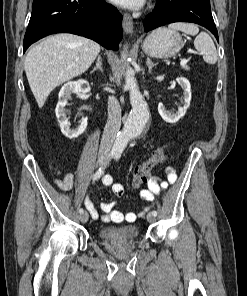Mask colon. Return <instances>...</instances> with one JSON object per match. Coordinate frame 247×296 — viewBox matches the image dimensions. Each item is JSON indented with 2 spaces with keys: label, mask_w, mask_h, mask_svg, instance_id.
I'll use <instances>...</instances> for the list:
<instances>
[{
  "label": "colon",
  "mask_w": 247,
  "mask_h": 296,
  "mask_svg": "<svg viewBox=\"0 0 247 296\" xmlns=\"http://www.w3.org/2000/svg\"><path fill=\"white\" fill-rule=\"evenodd\" d=\"M165 158V152L162 148L155 150L148 160L135 169L132 180V188L138 189L142 184L146 183L151 170L157 165L163 163Z\"/></svg>",
  "instance_id": "1"
}]
</instances>
